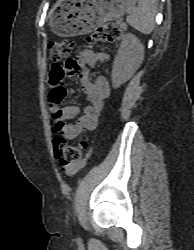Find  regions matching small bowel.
Listing matches in <instances>:
<instances>
[{"instance_id":"1","label":"small bowel","mask_w":194,"mask_h":250,"mask_svg":"<svg viewBox=\"0 0 194 250\" xmlns=\"http://www.w3.org/2000/svg\"><path fill=\"white\" fill-rule=\"evenodd\" d=\"M107 54L102 50L85 49L77 60H71L65 64H54L51 72L54 74L66 75L77 74L87 104L83 107L79 118L70 122L80 112V109L73 104H67L60 107L51 102L52 116L54 119L53 130L61 134L65 139L71 140L79 136L84 130H93L97 127L98 118L104 105V100L110 95V84L106 77L98 76L94 81L89 79V73L93 66L104 62ZM62 86H64L62 84ZM66 97L73 93L72 89H66ZM90 153L66 169H62L68 175L77 173L86 164Z\"/></svg>"}]
</instances>
